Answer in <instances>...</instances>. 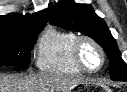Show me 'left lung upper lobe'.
Wrapping results in <instances>:
<instances>
[{
    "instance_id": "left-lung-upper-lobe-1",
    "label": "left lung upper lobe",
    "mask_w": 127,
    "mask_h": 92,
    "mask_svg": "<svg viewBox=\"0 0 127 92\" xmlns=\"http://www.w3.org/2000/svg\"><path fill=\"white\" fill-rule=\"evenodd\" d=\"M49 20L53 25L81 32L95 40L110 59V78L127 81V66L121 58L117 43L105 21L95 14L91 5L62 0L50 8Z\"/></svg>"
}]
</instances>
